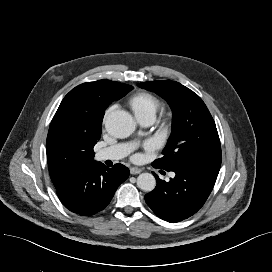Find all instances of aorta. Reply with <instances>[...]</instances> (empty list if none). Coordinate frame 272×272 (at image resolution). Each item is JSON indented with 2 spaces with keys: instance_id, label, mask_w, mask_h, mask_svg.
<instances>
[{
  "instance_id": "1",
  "label": "aorta",
  "mask_w": 272,
  "mask_h": 272,
  "mask_svg": "<svg viewBox=\"0 0 272 272\" xmlns=\"http://www.w3.org/2000/svg\"><path fill=\"white\" fill-rule=\"evenodd\" d=\"M136 123L132 116L123 110H116L109 113L105 118L107 132L116 138H126L135 130ZM137 186L150 192L156 186V179L151 173H142L137 177Z\"/></svg>"
}]
</instances>
